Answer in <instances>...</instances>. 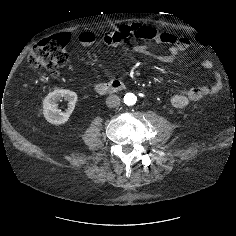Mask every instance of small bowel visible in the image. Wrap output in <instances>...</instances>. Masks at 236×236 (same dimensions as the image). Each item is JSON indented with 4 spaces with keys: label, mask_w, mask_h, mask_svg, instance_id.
Listing matches in <instances>:
<instances>
[{
    "label": "small bowel",
    "mask_w": 236,
    "mask_h": 236,
    "mask_svg": "<svg viewBox=\"0 0 236 236\" xmlns=\"http://www.w3.org/2000/svg\"><path fill=\"white\" fill-rule=\"evenodd\" d=\"M63 39L68 40L67 33L59 34ZM136 37L138 39L153 40L157 43L169 45L165 53L157 55L156 58L164 63L173 64L177 61L180 52L186 50L192 45H197L201 42V38L197 35L191 37L177 35L168 32H161L153 27L145 26L140 23L132 25H123L115 31H107L102 34L103 42L110 46H118L127 37ZM95 34L91 31H84L79 35L80 43L85 46H91L95 42ZM139 51H146V47L138 45ZM211 61L205 60L203 66L205 68L211 67ZM223 86L222 77L219 72H214L213 82L210 85H196L178 90L171 99V102L176 108H184L191 102L200 100L201 98L217 93Z\"/></svg>",
    "instance_id": "small-bowel-1"
}]
</instances>
